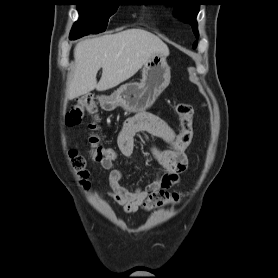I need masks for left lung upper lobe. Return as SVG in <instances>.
Masks as SVG:
<instances>
[{"instance_id": "left-lung-upper-lobe-1", "label": "left lung upper lobe", "mask_w": 278, "mask_h": 278, "mask_svg": "<svg viewBox=\"0 0 278 278\" xmlns=\"http://www.w3.org/2000/svg\"><path fill=\"white\" fill-rule=\"evenodd\" d=\"M161 2L164 5H175V15L184 22L191 24L195 36H199L195 20L200 6L198 0H161ZM196 44L197 42L194 43L193 47H196Z\"/></svg>"}]
</instances>
